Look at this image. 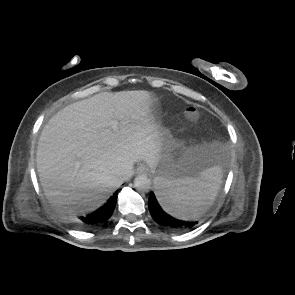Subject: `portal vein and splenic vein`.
<instances>
[{
    "label": "portal vein and splenic vein",
    "mask_w": 295,
    "mask_h": 295,
    "mask_svg": "<svg viewBox=\"0 0 295 295\" xmlns=\"http://www.w3.org/2000/svg\"><path fill=\"white\" fill-rule=\"evenodd\" d=\"M113 128H114V129H116V128H117V125H116L115 123L113 124Z\"/></svg>",
    "instance_id": "obj_1"
}]
</instances>
